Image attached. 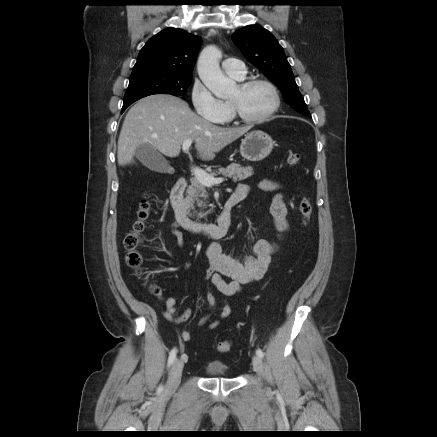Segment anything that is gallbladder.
I'll use <instances>...</instances> for the list:
<instances>
[{
  "instance_id": "bac80fb5",
  "label": "gallbladder",
  "mask_w": 437,
  "mask_h": 437,
  "mask_svg": "<svg viewBox=\"0 0 437 437\" xmlns=\"http://www.w3.org/2000/svg\"><path fill=\"white\" fill-rule=\"evenodd\" d=\"M135 157L152 171L163 173L168 169V163L164 157L149 144L138 146L135 150Z\"/></svg>"
}]
</instances>
